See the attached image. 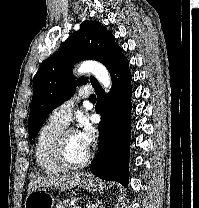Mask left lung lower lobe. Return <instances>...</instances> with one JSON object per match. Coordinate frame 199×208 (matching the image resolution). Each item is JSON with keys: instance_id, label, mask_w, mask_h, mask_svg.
<instances>
[{"instance_id": "obj_1", "label": "left lung lower lobe", "mask_w": 199, "mask_h": 208, "mask_svg": "<svg viewBox=\"0 0 199 208\" xmlns=\"http://www.w3.org/2000/svg\"><path fill=\"white\" fill-rule=\"evenodd\" d=\"M112 88L108 95L101 85L95 88L101 115L99 153L91 163V171L104 180L128 186L129 145L131 137V73L127 58L119 61L110 72Z\"/></svg>"}]
</instances>
